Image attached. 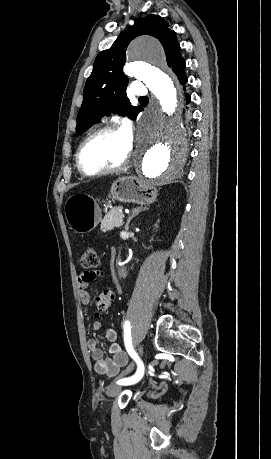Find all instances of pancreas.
Masks as SVG:
<instances>
[{
  "label": "pancreas",
  "mask_w": 271,
  "mask_h": 459,
  "mask_svg": "<svg viewBox=\"0 0 271 459\" xmlns=\"http://www.w3.org/2000/svg\"><path fill=\"white\" fill-rule=\"evenodd\" d=\"M122 210V206H118V208H112V210L106 214L101 224V229H103L105 232H108L112 228H119V226H122L123 219L120 218V214H123Z\"/></svg>",
  "instance_id": "obj_1"
}]
</instances>
